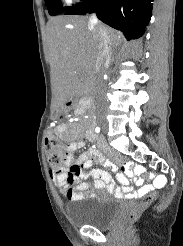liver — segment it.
Instances as JSON below:
<instances>
[{
	"label": "liver",
	"instance_id": "obj_1",
	"mask_svg": "<svg viewBox=\"0 0 183 246\" xmlns=\"http://www.w3.org/2000/svg\"><path fill=\"white\" fill-rule=\"evenodd\" d=\"M111 47L122 39L120 32L103 26ZM48 56L54 88L55 107L83 96L96 72L99 41L85 16H57L47 23Z\"/></svg>",
	"mask_w": 183,
	"mask_h": 246
}]
</instances>
